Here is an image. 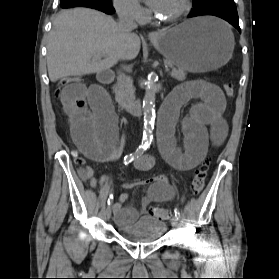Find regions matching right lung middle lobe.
Instances as JSON below:
<instances>
[{
	"label": "right lung middle lobe",
	"mask_w": 279,
	"mask_h": 279,
	"mask_svg": "<svg viewBox=\"0 0 279 279\" xmlns=\"http://www.w3.org/2000/svg\"><path fill=\"white\" fill-rule=\"evenodd\" d=\"M101 1L107 4H112V0H101Z\"/></svg>",
	"instance_id": "1"
}]
</instances>
